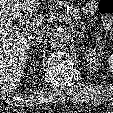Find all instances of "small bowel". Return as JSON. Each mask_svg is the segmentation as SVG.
<instances>
[{"instance_id": "1", "label": "small bowel", "mask_w": 113, "mask_h": 113, "mask_svg": "<svg viewBox=\"0 0 113 113\" xmlns=\"http://www.w3.org/2000/svg\"><path fill=\"white\" fill-rule=\"evenodd\" d=\"M95 11V4L94 2H89L86 4L84 8V12L87 16H91Z\"/></svg>"}]
</instances>
